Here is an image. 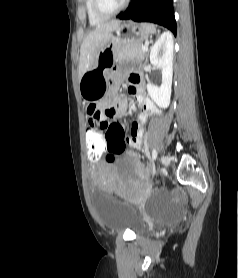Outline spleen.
Segmentation results:
<instances>
[{"label": "spleen", "mask_w": 238, "mask_h": 278, "mask_svg": "<svg viewBox=\"0 0 238 278\" xmlns=\"http://www.w3.org/2000/svg\"><path fill=\"white\" fill-rule=\"evenodd\" d=\"M145 26L149 29L151 34H154L156 32V29H155L154 25L145 24Z\"/></svg>", "instance_id": "3e777b00"}]
</instances>
